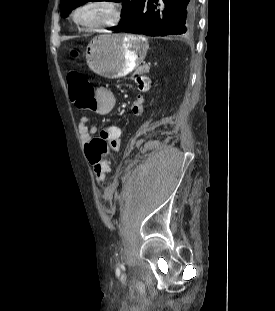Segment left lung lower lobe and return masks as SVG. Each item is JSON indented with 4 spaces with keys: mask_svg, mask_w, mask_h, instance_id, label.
I'll use <instances>...</instances> for the list:
<instances>
[{
    "mask_svg": "<svg viewBox=\"0 0 275 311\" xmlns=\"http://www.w3.org/2000/svg\"><path fill=\"white\" fill-rule=\"evenodd\" d=\"M195 28V0H144L136 18L120 30L148 36L189 35Z\"/></svg>",
    "mask_w": 275,
    "mask_h": 311,
    "instance_id": "1",
    "label": "left lung lower lobe"
}]
</instances>
